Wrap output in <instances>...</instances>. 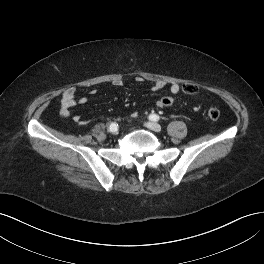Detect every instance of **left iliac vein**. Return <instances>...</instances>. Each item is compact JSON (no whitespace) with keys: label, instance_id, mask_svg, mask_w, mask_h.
<instances>
[{"label":"left iliac vein","instance_id":"4c4485c4","mask_svg":"<svg viewBox=\"0 0 264 264\" xmlns=\"http://www.w3.org/2000/svg\"><path fill=\"white\" fill-rule=\"evenodd\" d=\"M145 126L152 130V131H155V132H160L162 127L158 124V123H155V122H147L145 124Z\"/></svg>","mask_w":264,"mask_h":264}]
</instances>
